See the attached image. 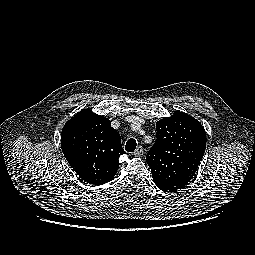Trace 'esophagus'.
<instances>
[{
    "label": "esophagus",
    "instance_id": "obj_1",
    "mask_svg": "<svg viewBox=\"0 0 255 255\" xmlns=\"http://www.w3.org/2000/svg\"><path fill=\"white\" fill-rule=\"evenodd\" d=\"M143 148L141 146L137 147V149L134 152L135 156H141L143 154Z\"/></svg>",
    "mask_w": 255,
    "mask_h": 255
}]
</instances>
